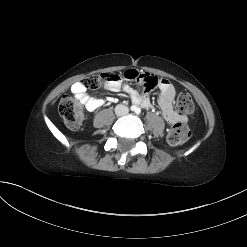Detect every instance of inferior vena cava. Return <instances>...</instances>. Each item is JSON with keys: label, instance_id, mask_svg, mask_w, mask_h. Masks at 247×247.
<instances>
[{"label": "inferior vena cava", "instance_id": "inferior-vena-cava-1", "mask_svg": "<svg viewBox=\"0 0 247 247\" xmlns=\"http://www.w3.org/2000/svg\"><path fill=\"white\" fill-rule=\"evenodd\" d=\"M128 112H129V109H128V107L125 106V105L119 104V105H117V106L115 107V113H116V115H118V116L127 115Z\"/></svg>", "mask_w": 247, "mask_h": 247}]
</instances>
